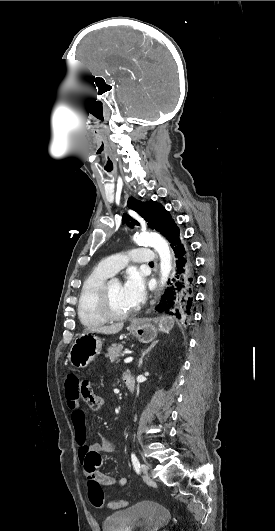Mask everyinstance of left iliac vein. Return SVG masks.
<instances>
[{
  "instance_id": "obj_1",
  "label": "left iliac vein",
  "mask_w": 275,
  "mask_h": 531,
  "mask_svg": "<svg viewBox=\"0 0 275 531\" xmlns=\"http://www.w3.org/2000/svg\"><path fill=\"white\" fill-rule=\"evenodd\" d=\"M141 471L143 472V480L146 483H154L152 478L148 475V466L146 464H141L140 466Z\"/></svg>"
}]
</instances>
